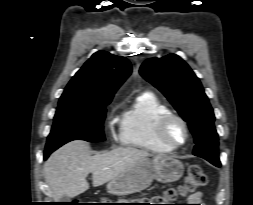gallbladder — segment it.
<instances>
[{
    "instance_id": "gallbladder-1",
    "label": "gallbladder",
    "mask_w": 253,
    "mask_h": 205,
    "mask_svg": "<svg viewBox=\"0 0 253 205\" xmlns=\"http://www.w3.org/2000/svg\"><path fill=\"white\" fill-rule=\"evenodd\" d=\"M69 197L68 196H63L62 198H61V202H68L69 201Z\"/></svg>"
}]
</instances>
